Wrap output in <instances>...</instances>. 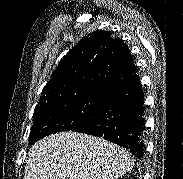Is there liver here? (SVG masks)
<instances>
[{"mask_svg": "<svg viewBox=\"0 0 183 179\" xmlns=\"http://www.w3.org/2000/svg\"><path fill=\"white\" fill-rule=\"evenodd\" d=\"M134 165L123 148L91 135L60 132L35 143L24 179H118Z\"/></svg>", "mask_w": 183, "mask_h": 179, "instance_id": "obj_1", "label": "liver"}]
</instances>
